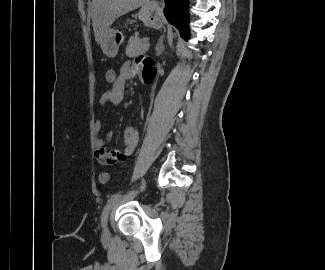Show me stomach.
Here are the masks:
<instances>
[{
    "label": "stomach",
    "mask_w": 325,
    "mask_h": 270,
    "mask_svg": "<svg viewBox=\"0 0 325 270\" xmlns=\"http://www.w3.org/2000/svg\"><path fill=\"white\" fill-rule=\"evenodd\" d=\"M137 17L147 27L160 29L163 26L162 16L160 11L151 3L144 4ZM124 36L121 32L114 29H109L101 46L103 53L108 57L117 55L119 46L123 43Z\"/></svg>",
    "instance_id": "obj_1"
}]
</instances>
